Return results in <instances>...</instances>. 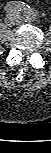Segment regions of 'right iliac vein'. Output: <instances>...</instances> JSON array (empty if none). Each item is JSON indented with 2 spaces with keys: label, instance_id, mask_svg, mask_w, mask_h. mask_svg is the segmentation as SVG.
<instances>
[{
  "label": "right iliac vein",
  "instance_id": "right-iliac-vein-1",
  "mask_svg": "<svg viewBox=\"0 0 51 153\" xmlns=\"http://www.w3.org/2000/svg\"><path fill=\"white\" fill-rule=\"evenodd\" d=\"M15 16L13 14H8L5 18V23L8 25V26H11L14 24L15 22Z\"/></svg>",
  "mask_w": 51,
  "mask_h": 153
}]
</instances>
